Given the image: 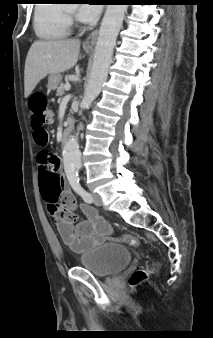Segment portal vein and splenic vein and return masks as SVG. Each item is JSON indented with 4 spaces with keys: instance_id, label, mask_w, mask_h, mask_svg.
<instances>
[{
    "instance_id": "obj_1",
    "label": "portal vein and splenic vein",
    "mask_w": 213,
    "mask_h": 338,
    "mask_svg": "<svg viewBox=\"0 0 213 338\" xmlns=\"http://www.w3.org/2000/svg\"><path fill=\"white\" fill-rule=\"evenodd\" d=\"M70 87H71V85H70L69 83H67V84L65 85V90L68 91V90L70 89Z\"/></svg>"
}]
</instances>
